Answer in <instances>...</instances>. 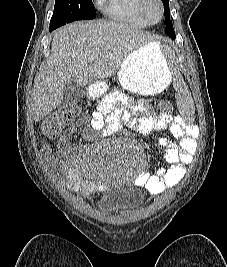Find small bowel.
<instances>
[{"label": "small bowel", "mask_w": 227, "mask_h": 267, "mask_svg": "<svg viewBox=\"0 0 227 267\" xmlns=\"http://www.w3.org/2000/svg\"><path fill=\"white\" fill-rule=\"evenodd\" d=\"M124 99L118 92H112L102 99L89 120L83 118L67 128L59 140V154L55 156L44 147L46 160L52 165L61 163L64 183L73 192L88 195L97 189V184L87 180L88 166L80 153L70 150L72 135L81 130L86 140H96L100 136L110 135L120 129V118L140 134H151L159 130H169L176 141L161 138L159 145L163 148L165 164L154 175L141 173L137 183L150 193H161L177 186L185 176L184 164L193 161L197 151L195 133L189 129L181 117L173 116L160 110H149L142 103L125 102L133 113H145L140 117H130V112L119 108Z\"/></svg>", "instance_id": "small-bowel-1"}]
</instances>
